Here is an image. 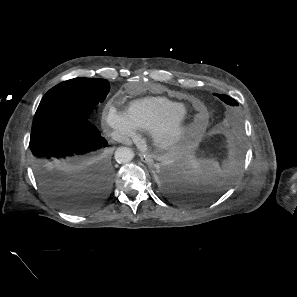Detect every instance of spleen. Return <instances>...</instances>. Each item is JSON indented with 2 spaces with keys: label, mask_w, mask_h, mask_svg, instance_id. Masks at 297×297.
<instances>
[{
  "label": "spleen",
  "mask_w": 297,
  "mask_h": 297,
  "mask_svg": "<svg viewBox=\"0 0 297 297\" xmlns=\"http://www.w3.org/2000/svg\"><path fill=\"white\" fill-rule=\"evenodd\" d=\"M187 166L189 170L196 175H204L210 171L219 170V163L214 160L197 159L194 156H188Z\"/></svg>",
  "instance_id": "obj_1"
}]
</instances>
